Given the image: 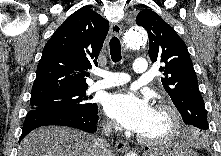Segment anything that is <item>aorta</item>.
Here are the masks:
<instances>
[{
	"instance_id": "762f6f07",
	"label": "aorta",
	"mask_w": 221,
	"mask_h": 156,
	"mask_svg": "<svg viewBox=\"0 0 221 156\" xmlns=\"http://www.w3.org/2000/svg\"><path fill=\"white\" fill-rule=\"evenodd\" d=\"M147 40L148 37L145 30L137 26L127 29L124 33V43L130 49H139L145 46Z\"/></svg>"
}]
</instances>
